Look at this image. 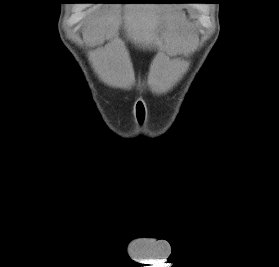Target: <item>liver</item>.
<instances>
[{"label":"liver","instance_id":"liver-1","mask_svg":"<svg viewBox=\"0 0 279 267\" xmlns=\"http://www.w3.org/2000/svg\"><path fill=\"white\" fill-rule=\"evenodd\" d=\"M122 19L127 39L136 45L150 48L154 44L167 52L176 48L178 14L172 7L129 4L123 7ZM120 21V7L111 6L93 17L88 30V40L93 45L110 40L106 48L99 51L96 66L104 80L113 86L121 85L127 73L125 49L118 39Z\"/></svg>","mask_w":279,"mask_h":267}]
</instances>
